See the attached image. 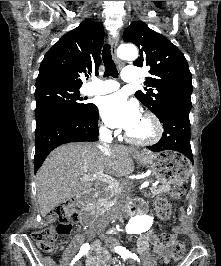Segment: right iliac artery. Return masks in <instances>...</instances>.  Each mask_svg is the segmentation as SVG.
I'll return each instance as SVG.
<instances>
[{
	"instance_id": "1",
	"label": "right iliac artery",
	"mask_w": 221,
	"mask_h": 266,
	"mask_svg": "<svg viewBox=\"0 0 221 266\" xmlns=\"http://www.w3.org/2000/svg\"><path fill=\"white\" fill-rule=\"evenodd\" d=\"M90 249V245L88 243H85L81 246L79 253L73 258L70 266H73L74 263L79 260L83 255L87 254Z\"/></svg>"
}]
</instances>
